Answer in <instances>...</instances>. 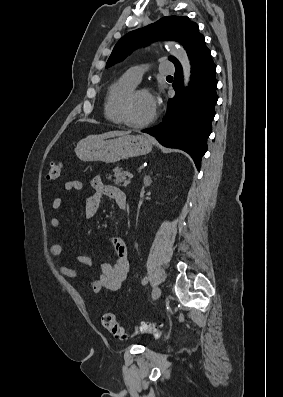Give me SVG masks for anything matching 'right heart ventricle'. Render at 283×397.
<instances>
[{
  "label": "right heart ventricle",
  "mask_w": 283,
  "mask_h": 397,
  "mask_svg": "<svg viewBox=\"0 0 283 397\" xmlns=\"http://www.w3.org/2000/svg\"><path fill=\"white\" fill-rule=\"evenodd\" d=\"M136 86L126 75L114 80L107 88L104 98V116L113 123L120 125L122 121L119 116V103L122 97Z\"/></svg>",
  "instance_id": "obj_1"
}]
</instances>
